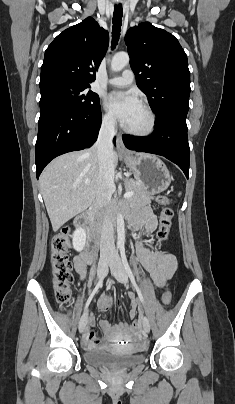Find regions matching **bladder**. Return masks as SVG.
Wrapping results in <instances>:
<instances>
[{"mask_svg":"<svg viewBox=\"0 0 235 404\" xmlns=\"http://www.w3.org/2000/svg\"><path fill=\"white\" fill-rule=\"evenodd\" d=\"M132 350L120 353L116 347L104 346L88 350L84 353L87 363L110 370H130L143 362V355Z\"/></svg>","mask_w":235,"mask_h":404,"instance_id":"31cf9c89","label":"bladder"}]
</instances>
